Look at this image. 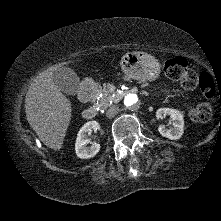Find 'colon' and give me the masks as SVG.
<instances>
[{
    "instance_id": "5ec220e1",
    "label": "colon",
    "mask_w": 221,
    "mask_h": 221,
    "mask_svg": "<svg viewBox=\"0 0 221 221\" xmlns=\"http://www.w3.org/2000/svg\"><path fill=\"white\" fill-rule=\"evenodd\" d=\"M165 74L172 80L178 81L180 86L188 91L199 89L205 101L189 109V116L195 122H206L211 117L212 107L210 100L215 94V85L206 72L197 74L188 67L183 57H174L164 64Z\"/></svg>"
}]
</instances>
